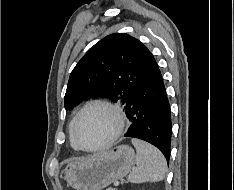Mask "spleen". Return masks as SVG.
<instances>
[{"instance_id": "obj_1", "label": "spleen", "mask_w": 234, "mask_h": 190, "mask_svg": "<svg viewBox=\"0 0 234 190\" xmlns=\"http://www.w3.org/2000/svg\"><path fill=\"white\" fill-rule=\"evenodd\" d=\"M132 144L137 151L135 157L137 167L128 176V181L131 183H154L164 180L167 172L164 155L145 141L133 138Z\"/></svg>"}]
</instances>
